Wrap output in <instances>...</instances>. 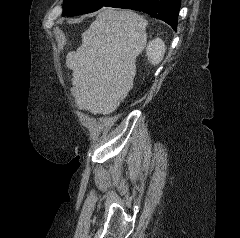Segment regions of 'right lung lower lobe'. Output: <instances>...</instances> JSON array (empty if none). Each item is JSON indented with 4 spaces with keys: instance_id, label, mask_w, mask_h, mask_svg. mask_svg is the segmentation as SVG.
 <instances>
[{
    "instance_id": "1",
    "label": "right lung lower lobe",
    "mask_w": 240,
    "mask_h": 238,
    "mask_svg": "<svg viewBox=\"0 0 240 238\" xmlns=\"http://www.w3.org/2000/svg\"><path fill=\"white\" fill-rule=\"evenodd\" d=\"M181 0H113L107 7L132 9L160 19L177 30Z\"/></svg>"
}]
</instances>
